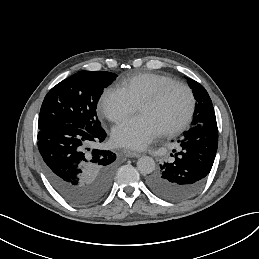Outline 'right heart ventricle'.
I'll list each match as a JSON object with an SVG mask.
<instances>
[{"label": "right heart ventricle", "mask_w": 259, "mask_h": 259, "mask_svg": "<svg viewBox=\"0 0 259 259\" xmlns=\"http://www.w3.org/2000/svg\"><path fill=\"white\" fill-rule=\"evenodd\" d=\"M173 78L158 73H134L123 76L116 89L139 105L144 99L153 96L165 83Z\"/></svg>", "instance_id": "obj_1"}]
</instances>
